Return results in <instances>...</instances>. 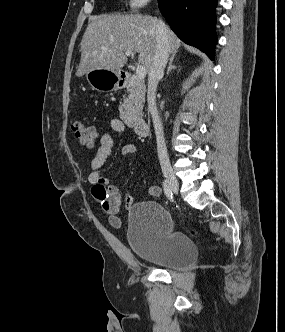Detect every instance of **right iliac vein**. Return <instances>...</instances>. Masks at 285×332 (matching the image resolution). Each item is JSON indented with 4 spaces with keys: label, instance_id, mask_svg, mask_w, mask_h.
<instances>
[{
    "label": "right iliac vein",
    "instance_id": "1",
    "mask_svg": "<svg viewBox=\"0 0 285 332\" xmlns=\"http://www.w3.org/2000/svg\"><path fill=\"white\" fill-rule=\"evenodd\" d=\"M162 171L168 180L171 191L175 194H178L179 185H178V181L173 173L172 168L169 165H163Z\"/></svg>",
    "mask_w": 285,
    "mask_h": 332
}]
</instances>
